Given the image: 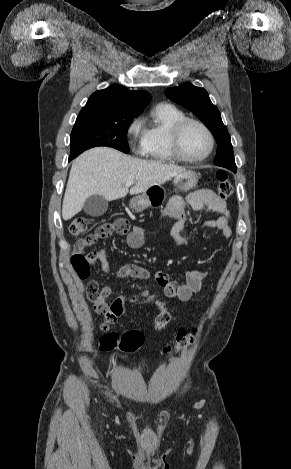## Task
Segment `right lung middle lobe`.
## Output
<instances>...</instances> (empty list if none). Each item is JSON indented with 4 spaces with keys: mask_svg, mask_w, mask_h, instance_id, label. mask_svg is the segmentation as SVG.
<instances>
[{
    "mask_svg": "<svg viewBox=\"0 0 291 469\" xmlns=\"http://www.w3.org/2000/svg\"><path fill=\"white\" fill-rule=\"evenodd\" d=\"M133 118L78 115L70 136L69 159L96 146L113 147L128 153L126 135Z\"/></svg>",
    "mask_w": 291,
    "mask_h": 469,
    "instance_id": "1",
    "label": "right lung middle lobe"
}]
</instances>
